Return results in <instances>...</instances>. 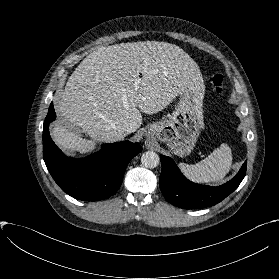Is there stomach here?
<instances>
[{
    "instance_id": "0dacf381",
    "label": "stomach",
    "mask_w": 279,
    "mask_h": 279,
    "mask_svg": "<svg viewBox=\"0 0 279 279\" xmlns=\"http://www.w3.org/2000/svg\"><path fill=\"white\" fill-rule=\"evenodd\" d=\"M202 127L201 108L197 106L194 93L187 91L178 95L173 112L162 121L150 124L146 134L165 142L175 155L183 157L195 148Z\"/></svg>"
}]
</instances>
